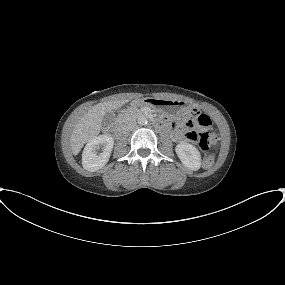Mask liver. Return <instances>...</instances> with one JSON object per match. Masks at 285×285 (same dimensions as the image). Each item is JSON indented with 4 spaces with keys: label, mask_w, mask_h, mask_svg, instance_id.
Listing matches in <instances>:
<instances>
[{
    "label": "liver",
    "mask_w": 285,
    "mask_h": 285,
    "mask_svg": "<svg viewBox=\"0 0 285 285\" xmlns=\"http://www.w3.org/2000/svg\"><path fill=\"white\" fill-rule=\"evenodd\" d=\"M128 100H115L99 103L92 107L75 125L70 137V145L74 155H77L84 144L95 138L101 130L102 120L106 112L117 109Z\"/></svg>",
    "instance_id": "liver-1"
}]
</instances>
